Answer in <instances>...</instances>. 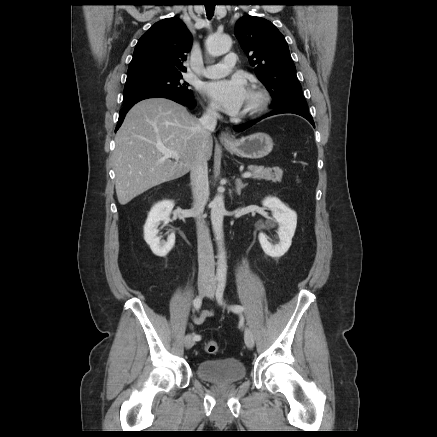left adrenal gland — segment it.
<instances>
[{
  "label": "left adrenal gland",
  "instance_id": "1",
  "mask_svg": "<svg viewBox=\"0 0 437 437\" xmlns=\"http://www.w3.org/2000/svg\"><path fill=\"white\" fill-rule=\"evenodd\" d=\"M247 185L248 184L247 183L244 184L240 178H237L236 179V192H237V194L240 195L241 190Z\"/></svg>",
  "mask_w": 437,
  "mask_h": 437
}]
</instances>
